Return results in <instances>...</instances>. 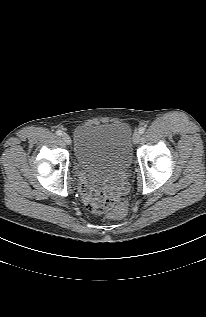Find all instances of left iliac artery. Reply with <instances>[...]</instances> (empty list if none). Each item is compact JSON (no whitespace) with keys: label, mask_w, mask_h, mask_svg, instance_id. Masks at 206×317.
<instances>
[{"label":"left iliac artery","mask_w":206,"mask_h":317,"mask_svg":"<svg viewBox=\"0 0 206 317\" xmlns=\"http://www.w3.org/2000/svg\"><path fill=\"white\" fill-rule=\"evenodd\" d=\"M139 132H140V134H143L145 132V128L144 127H140L139 128Z\"/></svg>","instance_id":"obj_1"}]
</instances>
